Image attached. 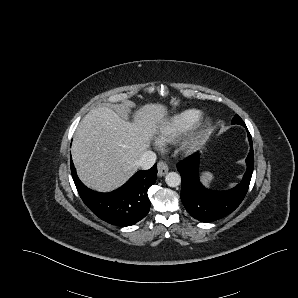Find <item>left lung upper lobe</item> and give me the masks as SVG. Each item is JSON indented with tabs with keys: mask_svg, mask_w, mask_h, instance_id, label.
Masks as SVG:
<instances>
[{
	"mask_svg": "<svg viewBox=\"0 0 298 298\" xmlns=\"http://www.w3.org/2000/svg\"><path fill=\"white\" fill-rule=\"evenodd\" d=\"M232 124H240V125H242L243 124V121H242V119L238 115H235L234 118L232 119Z\"/></svg>",
	"mask_w": 298,
	"mask_h": 298,
	"instance_id": "1",
	"label": "left lung upper lobe"
}]
</instances>
